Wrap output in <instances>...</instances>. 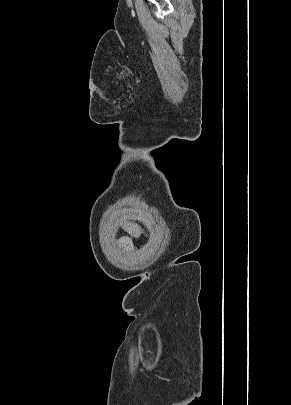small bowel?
I'll list each match as a JSON object with an SVG mask.
<instances>
[{
  "label": "small bowel",
  "mask_w": 291,
  "mask_h": 405,
  "mask_svg": "<svg viewBox=\"0 0 291 405\" xmlns=\"http://www.w3.org/2000/svg\"><path fill=\"white\" fill-rule=\"evenodd\" d=\"M132 232H134V228L131 229ZM122 244L124 245V247H126L127 249H131L132 248V242L130 239L128 238H124L122 240Z\"/></svg>",
  "instance_id": "obj_1"
}]
</instances>
